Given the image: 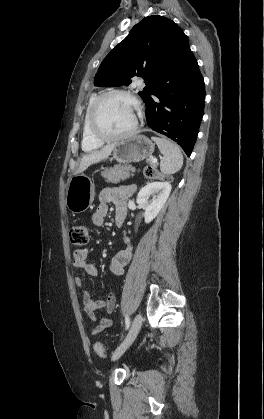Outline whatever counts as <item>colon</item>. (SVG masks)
I'll return each instance as SVG.
<instances>
[{
  "mask_svg": "<svg viewBox=\"0 0 264 419\" xmlns=\"http://www.w3.org/2000/svg\"><path fill=\"white\" fill-rule=\"evenodd\" d=\"M144 175L148 179H156L160 177L157 170L152 167H146L144 169ZM69 238L73 246L78 248L85 247L89 240V226L86 223L76 224L71 228ZM94 351L101 358H105L107 356V351L100 342H96L94 344Z\"/></svg>",
  "mask_w": 264,
  "mask_h": 419,
  "instance_id": "5ec220e1",
  "label": "colon"
}]
</instances>
